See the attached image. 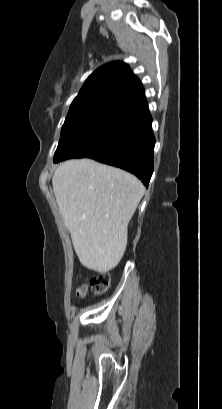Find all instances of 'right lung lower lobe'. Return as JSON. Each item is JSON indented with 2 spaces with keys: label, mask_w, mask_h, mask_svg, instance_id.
Here are the masks:
<instances>
[{
  "label": "right lung lower lobe",
  "mask_w": 222,
  "mask_h": 409,
  "mask_svg": "<svg viewBox=\"0 0 222 409\" xmlns=\"http://www.w3.org/2000/svg\"><path fill=\"white\" fill-rule=\"evenodd\" d=\"M151 123L147 103L125 110L114 121L101 145L86 157L127 170L148 187L155 144Z\"/></svg>",
  "instance_id": "right-lung-lower-lobe-1"
}]
</instances>
